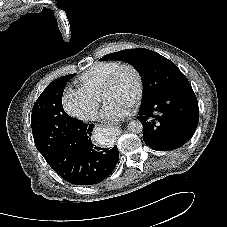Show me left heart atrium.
<instances>
[{
	"label": "left heart atrium",
	"instance_id": "39dd6f15",
	"mask_svg": "<svg viewBox=\"0 0 227 227\" xmlns=\"http://www.w3.org/2000/svg\"><path fill=\"white\" fill-rule=\"evenodd\" d=\"M132 102L110 100L103 107L102 117L107 121H117L125 117L131 110Z\"/></svg>",
	"mask_w": 227,
	"mask_h": 227
}]
</instances>
